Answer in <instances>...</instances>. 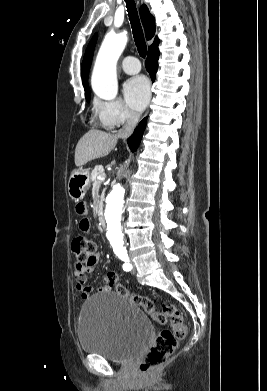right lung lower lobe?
Listing matches in <instances>:
<instances>
[{
    "label": "right lung lower lobe",
    "instance_id": "1",
    "mask_svg": "<svg viewBox=\"0 0 267 391\" xmlns=\"http://www.w3.org/2000/svg\"><path fill=\"white\" fill-rule=\"evenodd\" d=\"M158 58H159V50H158V48L148 52V56H147V60L145 62V66H146L147 71L150 74V77H151L152 81L155 80L156 71H157V68H158ZM146 122H147V117H145L138 124V126L134 130V133L127 140V143H128V145H129V147H130L132 152H134L137 149V147L139 146V144H140V141H141V138H142V135H143V131H144L145 126H146Z\"/></svg>",
    "mask_w": 267,
    "mask_h": 391
}]
</instances>
